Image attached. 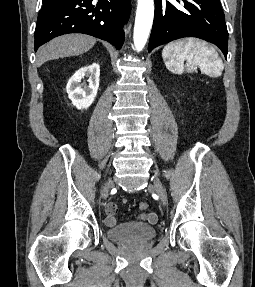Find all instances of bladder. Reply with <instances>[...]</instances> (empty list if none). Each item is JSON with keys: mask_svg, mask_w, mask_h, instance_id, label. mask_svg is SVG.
Masks as SVG:
<instances>
[{"mask_svg": "<svg viewBox=\"0 0 255 287\" xmlns=\"http://www.w3.org/2000/svg\"><path fill=\"white\" fill-rule=\"evenodd\" d=\"M107 237L115 242L140 243L149 242L156 238L155 226L145 222H128L107 228Z\"/></svg>", "mask_w": 255, "mask_h": 287, "instance_id": "31cf9c89", "label": "bladder"}]
</instances>
